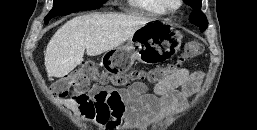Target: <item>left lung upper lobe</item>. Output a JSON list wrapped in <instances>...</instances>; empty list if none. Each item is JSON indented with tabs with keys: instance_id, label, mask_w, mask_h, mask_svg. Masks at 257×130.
<instances>
[{
	"instance_id": "obj_1",
	"label": "left lung upper lobe",
	"mask_w": 257,
	"mask_h": 130,
	"mask_svg": "<svg viewBox=\"0 0 257 130\" xmlns=\"http://www.w3.org/2000/svg\"><path fill=\"white\" fill-rule=\"evenodd\" d=\"M185 2L192 7L193 11L189 17V21L196 26L200 27V31L203 32L207 26L208 21L206 16L201 11V0H185Z\"/></svg>"
}]
</instances>
